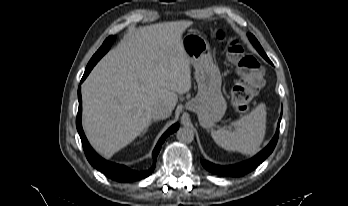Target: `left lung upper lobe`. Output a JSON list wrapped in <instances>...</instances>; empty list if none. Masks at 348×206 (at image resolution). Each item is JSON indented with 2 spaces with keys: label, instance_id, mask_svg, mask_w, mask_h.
<instances>
[{
  "label": "left lung upper lobe",
  "instance_id": "left-lung-upper-lobe-1",
  "mask_svg": "<svg viewBox=\"0 0 348 206\" xmlns=\"http://www.w3.org/2000/svg\"><path fill=\"white\" fill-rule=\"evenodd\" d=\"M248 36L251 42L253 43V45L255 46V48L257 49V51L262 55V57L265 58L268 62H271L269 58L267 57V55L265 54L264 50L262 49L261 45L257 41V39L252 34H248Z\"/></svg>",
  "mask_w": 348,
  "mask_h": 206
}]
</instances>
